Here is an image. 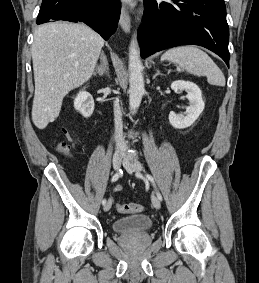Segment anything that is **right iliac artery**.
Masks as SVG:
<instances>
[{
  "label": "right iliac artery",
  "instance_id": "1",
  "mask_svg": "<svg viewBox=\"0 0 259 283\" xmlns=\"http://www.w3.org/2000/svg\"><path fill=\"white\" fill-rule=\"evenodd\" d=\"M123 171L121 169H119V171L112 177L111 182H115L119 179V177L122 175ZM102 204L105 205L106 204V199L102 200Z\"/></svg>",
  "mask_w": 259,
  "mask_h": 283
}]
</instances>
